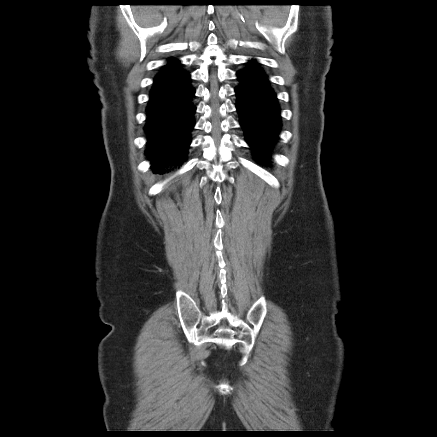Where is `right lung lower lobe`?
<instances>
[{
    "label": "right lung lower lobe",
    "mask_w": 437,
    "mask_h": 437,
    "mask_svg": "<svg viewBox=\"0 0 437 437\" xmlns=\"http://www.w3.org/2000/svg\"><path fill=\"white\" fill-rule=\"evenodd\" d=\"M194 94L190 73L177 59L169 60L154 78L145 130L149 136L146 153L156 172L186 160L195 125Z\"/></svg>",
    "instance_id": "1"
}]
</instances>
